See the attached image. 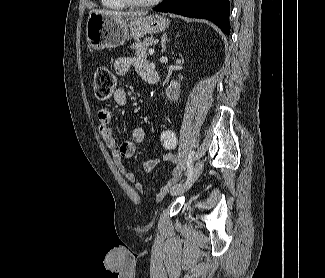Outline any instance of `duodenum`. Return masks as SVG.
Wrapping results in <instances>:
<instances>
[{"label": "duodenum", "mask_w": 325, "mask_h": 278, "mask_svg": "<svg viewBox=\"0 0 325 278\" xmlns=\"http://www.w3.org/2000/svg\"><path fill=\"white\" fill-rule=\"evenodd\" d=\"M144 79L150 84H157L159 81V73L151 64L146 67Z\"/></svg>", "instance_id": "410a0bca"}]
</instances>
